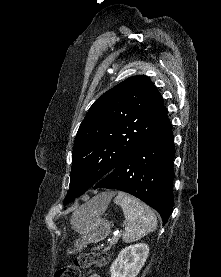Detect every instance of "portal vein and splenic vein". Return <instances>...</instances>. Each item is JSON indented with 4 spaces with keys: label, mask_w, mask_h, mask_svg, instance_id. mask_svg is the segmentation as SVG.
Segmentation results:
<instances>
[{
    "label": "portal vein and splenic vein",
    "mask_w": 221,
    "mask_h": 277,
    "mask_svg": "<svg viewBox=\"0 0 221 277\" xmlns=\"http://www.w3.org/2000/svg\"><path fill=\"white\" fill-rule=\"evenodd\" d=\"M118 235H119V232H115V233H114V235H113V237H112V239H111V241H110V245H109L108 248H110V247L117 241Z\"/></svg>",
    "instance_id": "portal-vein-and-splenic-vein-1"
}]
</instances>
